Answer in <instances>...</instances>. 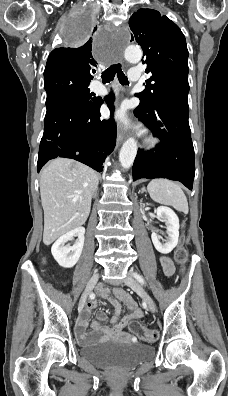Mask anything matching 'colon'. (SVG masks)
<instances>
[{"label": "colon", "instance_id": "colon-1", "mask_svg": "<svg viewBox=\"0 0 228 396\" xmlns=\"http://www.w3.org/2000/svg\"><path fill=\"white\" fill-rule=\"evenodd\" d=\"M175 258L178 263H185L187 260V252L185 249L180 248L176 252ZM129 329L137 334L139 337L143 338L144 340L147 341H154L157 339L158 333L155 330H148L144 328L141 324H139L137 321H132L129 323Z\"/></svg>", "mask_w": 228, "mask_h": 396}]
</instances>
